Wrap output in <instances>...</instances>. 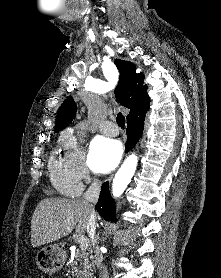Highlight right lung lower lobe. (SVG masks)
<instances>
[{
  "label": "right lung lower lobe",
  "instance_id": "obj_1",
  "mask_svg": "<svg viewBox=\"0 0 221 278\" xmlns=\"http://www.w3.org/2000/svg\"><path fill=\"white\" fill-rule=\"evenodd\" d=\"M145 118H135L127 121V136L128 140L125 145L126 152L131 150L138 140L141 138L144 128ZM99 214L108 221L116 222L115 203L109 193L108 182L103 183L99 200L95 206Z\"/></svg>",
  "mask_w": 221,
  "mask_h": 278
}]
</instances>
